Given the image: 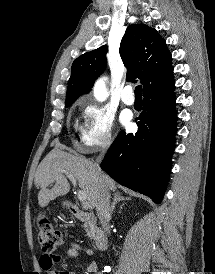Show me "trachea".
Returning a JSON list of instances; mask_svg holds the SVG:
<instances>
[{
  "label": "trachea",
  "instance_id": "trachea-1",
  "mask_svg": "<svg viewBox=\"0 0 215 274\" xmlns=\"http://www.w3.org/2000/svg\"><path fill=\"white\" fill-rule=\"evenodd\" d=\"M141 91H142V86L141 85H138V86H136L135 87V96L136 97H142V93H141Z\"/></svg>",
  "mask_w": 215,
  "mask_h": 274
}]
</instances>
